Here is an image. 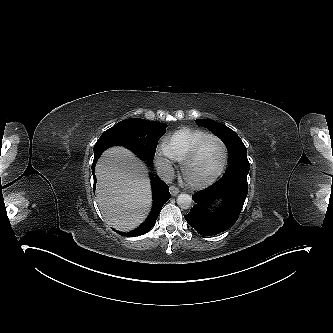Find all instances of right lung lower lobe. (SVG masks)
I'll list each match as a JSON object with an SVG mask.
<instances>
[{"label": "right lung lower lobe", "mask_w": 333, "mask_h": 333, "mask_svg": "<svg viewBox=\"0 0 333 333\" xmlns=\"http://www.w3.org/2000/svg\"><path fill=\"white\" fill-rule=\"evenodd\" d=\"M114 145H121L132 152H134L136 155H138L141 159H144L145 157L137 150V148L125 137L108 132L107 130L100 136V138L97 140L96 144L94 145V160L92 164V174L94 177V185L96 183V178L94 174V167L95 164L101 155V153ZM152 162L148 160V164H151ZM151 183H152V192H153V206L152 210L148 216V218L143 222L138 228H136L133 231L130 232H118L121 235L127 236V237H136L145 234L148 232L154 225L157 220V217L160 213V210L162 206L170 199V193L169 188L166 183L163 181L154 178L151 175ZM117 232V231H116Z\"/></svg>", "instance_id": "1"}]
</instances>
